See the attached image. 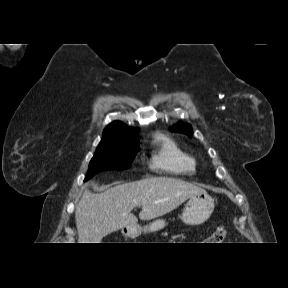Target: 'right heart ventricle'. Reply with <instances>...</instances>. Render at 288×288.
Here are the masks:
<instances>
[{"label": "right heart ventricle", "instance_id": "right-heart-ventricle-1", "mask_svg": "<svg viewBox=\"0 0 288 288\" xmlns=\"http://www.w3.org/2000/svg\"><path fill=\"white\" fill-rule=\"evenodd\" d=\"M157 142L159 148L152 159L155 168L174 174H193L196 171V160L173 140L158 135Z\"/></svg>", "mask_w": 288, "mask_h": 288}]
</instances>
